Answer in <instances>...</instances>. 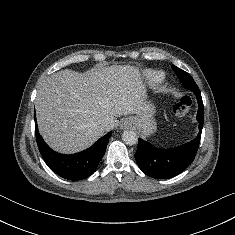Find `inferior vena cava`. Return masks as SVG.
I'll return each instance as SVG.
<instances>
[{
    "label": "inferior vena cava",
    "instance_id": "602c4592",
    "mask_svg": "<svg viewBox=\"0 0 235 235\" xmlns=\"http://www.w3.org/2000/svg\"><path fill=\"white\" fill-rule=\"evenodd\" d=\"M100 127L103 128V129L107 128L108 127V122L107 121H102L100 123Z\"/></svg>",
    "mask_w": 235,
    "mask_h": 235
}]
</instances>
